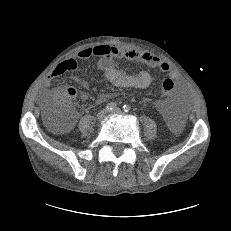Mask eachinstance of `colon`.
Wrapping results in <instances>:
<instances>
[{
    "instance_id": "obj_1",
    "label": "colon",
    "mask_w": 231,
    "mask_h": 231,
    "mask_svg": "<svg viewBox=\"0 0 231 231\" xmlns=\"http://www.w3.org/2000/svg\"><path fill=\"white\" fill-rule=\"evenodd\" d=\"M177 90V84L170 78H166L160 84V91L165 96H174ZM75 94L74 88H66L62 93L55 94L49 99L46 105V119L50 126L54 128L68 127L70 119L74 116L69 101Z\"/></svg>"
}]
</instances>
